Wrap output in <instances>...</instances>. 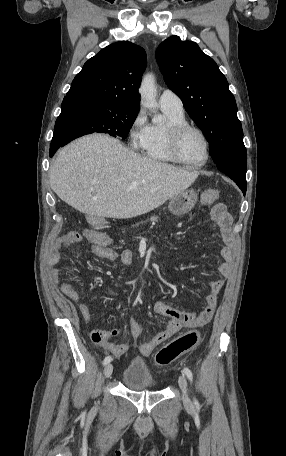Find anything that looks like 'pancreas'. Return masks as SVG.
<instances>
[{"label": "pancreas", "instance_id": "1", "mask_svg": "<svg viewBox=\"0 0 286 456\" xmlns=\"http://www.w3.org/2000/svg\"><path fill=\"white\" fill-rule=\"evenodd\" d=\"M150 221H152V222H157V221H158V217H157V216H152V217L150 218ZM137 226H138V224H137Z\"/></svg>", "mask_w": 286, "mask_h": 456}]
</instances>
